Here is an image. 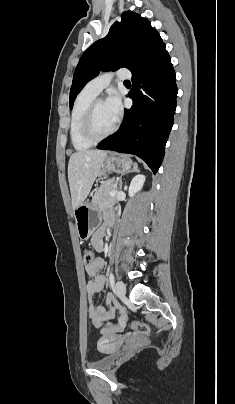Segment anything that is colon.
Instances as JSON below:
<instances>
[{"label": "colon", "instance_id": "obj_1", "mask_svg": "<svg viewBox=\"0 0 235 404\" xmlns=\"http://www.w3.org/2000/svg\"><path fill=\"white\" fill-rule=\"evenodd\" d=\"M94 261V255L93 252L89 249L85 250L83 253V262L85 265H90ZM128 326L126 318L124 315H121L118 321V324L116 325L118 330H123ZM129 327L140 334H149L151 332V327L145 323L138 322V321H133L129 324Z\"/></svg>", "mask_w": 235, "mask_h": 404}]
</instances>
